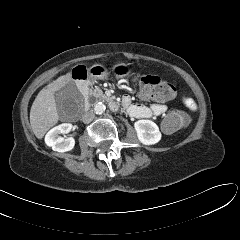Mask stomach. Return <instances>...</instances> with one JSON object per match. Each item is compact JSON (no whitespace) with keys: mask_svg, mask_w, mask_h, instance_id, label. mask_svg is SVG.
Returning a JSON list of instances; mask_svg holds the SVG:
<instances>
[{"mask_svg":"<svg viewBox=\"0 0 240 240\" xmlns=\"http://www.w3.org/2000/svg\"><path fill=\"white\" fill-rule=\"evenodd\" d=\"M113 71L117 77H123L130 73L129 65L125 63L117 64L113 67ZM109 76L108 70L102 65H93L89 69V77L91 81L97 79H107Z\"/></svg>","mask_w":240,"mask_h":240,"instance_id":"stomach-1","label":"stomach"}]
</instances>
